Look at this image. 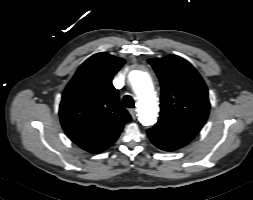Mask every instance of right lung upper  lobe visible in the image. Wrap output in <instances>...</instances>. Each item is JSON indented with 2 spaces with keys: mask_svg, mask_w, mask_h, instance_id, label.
<instances>
[{
  "mask_svg": "<svg viewBox=\"0 0 253 200\" xmlns=\"http://www.w3.org/2000/svg\"><path fill=\"white\" fill-rule=\"evenodd\" d=\"M125 60L107 53L88 58L66 86L59 115L63 130L80 148L100 153L119 137L131 116L119 103L113 76Z\"/></svg>",
  "mask_w": 253,
  "mask_h": 200,
  "instance_id": "1",
  "label": "right lung upper lobe"
}]
</instances>
